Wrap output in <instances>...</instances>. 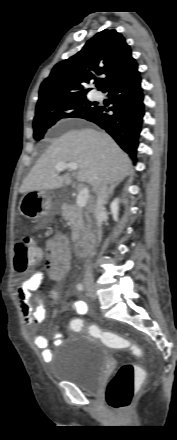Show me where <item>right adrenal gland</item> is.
Listing matches in <instances>:
<instances>
[{"label":"right adrenal gland","instance_id":"right-adrenal-gland-1","mask_svg":"<svg viewBox=\"0 0 177 440\" xmlns=\"http://www.w3.org/2000/svg\"><path fill=\"white\" fill-rule=\"evenodd\" d=\"M120 182L121 181H116L111 184L107 193V201L109 200L110 196L114 193V189L120 184Z\"/></svg>","mask_w":177,"mask_h":440}]
</instances>
